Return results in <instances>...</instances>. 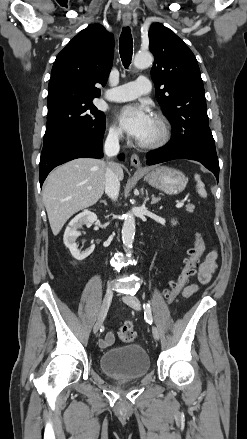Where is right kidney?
Here are the masks:
<instances>
[{"mask_svg":"<svg viewBox=\"0 0 247 439\" xmlns=\"http://www.w3.org/2000/svg\"><path fill=\"white\" fill-rule=\"evenodd\" d=\"M96 220L97 215L94 212L85 210L75 216L68 224L64 233L63 241L65 246L70 250L72 256L76 260H84L93 252L95 248L94 244H92L89 249H86L82 252L77 248L76 239L81 234L78 229L82 225L91 226Z\"/></svg>","mask_w":247,"mask_h":439,"instance_id":"right-kidney-1","label":"right kidney"}]
</instances>
